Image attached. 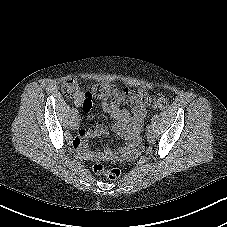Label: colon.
Listing matches in <instances>:
<instances>
[{"label": "colon", "instance_id": "obj_1", "mask_svg": "<svg viewBox=\"0 0 227 227\" xmlns=\"http://www.w3.org/2000/svg\"><path fill=\"white\" fill-rule=\"evenodd\" d=\"M80 84L75 78H69L63 82L62 91L66 96L74 97L80 92ZM87 100L92 102V99H118L134 97L141 103L149 101V95L143 90H136L133 92L127 90H119L114 86L108 84H95L86 88L85 93ZM168 107V101L165 97L158 95L153 101V108L157 110H165ZM92 171L96 174L104 175L110 181H116L121 172L118 168L107 167L102 163H95L92 165Z\"/></svg>", "mask_w": 227, "mask_h": 227}]
</instances>
